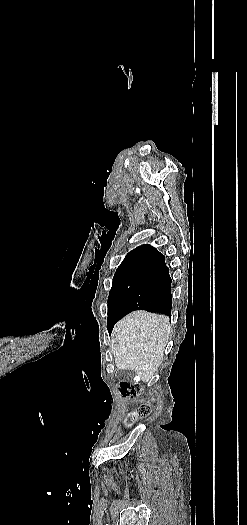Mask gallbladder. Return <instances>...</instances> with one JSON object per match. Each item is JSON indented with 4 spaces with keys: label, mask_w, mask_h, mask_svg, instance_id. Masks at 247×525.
<instances>
[{
    "label": "gallbladder",
    "mask_w": 247,
    "mask_h": 525,
    "mask_svg": "<svg viewBox=\"0 0 247 525\" xmlns=\"http://www.w3.org/2000/svg\"><path fill=\"white\" fill-rule=\"evenodd\" d=\"M115 377L119 381H123L128 377L129 379H132L134 377V373H132L129 366L124 365L119 368V371L116 372Z\"/></svg>",
    "instance_id": "1"
}]
</instances>
